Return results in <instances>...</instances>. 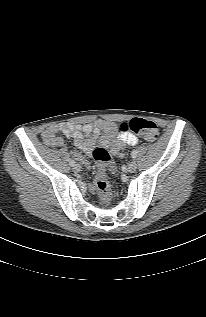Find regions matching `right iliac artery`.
<instances>
[{
  "mask_svg": "<svg viewBox=\"0 0 206 317\" xmlns=\"http://www.w3.org/2000/svg\"><path fill=\"white\" fill-rule=\"evenodd\" d=\"M69 164H70L71 166H74V165H75V161L71 159L70 162H69Z\"/></svg>",
  "mask_w": 206,
  "mask_h": 317,
  "instance_id": "right-iliac-artery-1",
  "label": "right iliac artery"
}]
</instances>
